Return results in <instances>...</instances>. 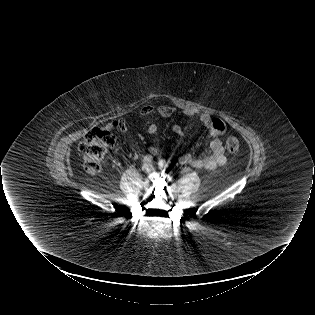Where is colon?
<instances>
[{"mask_svg": "<svg viewBox=\"0 0 315 315\" xmlns=\"http://www.w3.org/2000/svg\"><path fill=\"white\" fill-rule=\"evenodd\" d=\"M114 130L115 128L110 129L106 126L93 128L80 144L79 152L88 174L94 176L99 172L108 149L114 143ZM226 147L229 152L237 153L240 148L238 139L234 136L227 137Z\"/></svg>", "mask_w": 315, "mask_h": 315, "instance_id": "obj_1", "label": "colon"}]
</instances>
